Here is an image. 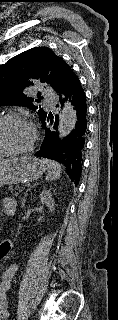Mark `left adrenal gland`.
<instances>
[{
    "instance_id": "1",
    "label": "left adrenal gland",
    "mask_w": 118,
    "mask_h": 320,
    "mask_svg": "<svg viewBox=\"0 0 118 320\" xmlns=\"http://www.w3.org/2000/svg\"><path fill=\"white\" fill-rule=\"evenodd\" d=\"M30 189H28L27 191H26V193H25V195H24V197H23V199H22V207H24V205H25V202H26V197H27V195H28V191H29Z\"/></svg>"
}]
</instances>
